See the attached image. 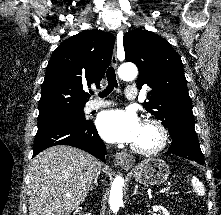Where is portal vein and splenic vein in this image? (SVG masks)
Returning <instances> with one entry per match:
<instances>
[{
	"instance_id": "18ae733b",
	"label": "portal vein and splenic vein",
	"mask_w": 221,
	"mask_h": 215,
	"mask_svg": "<svg viewBox=\"0 0 221 215\" xmlns=\"http://www.w3.org/2000/svg\"><path fill=\"white\" fill-rule=\"evenodd\" d=\"M170 191V188H166L163 190V192H169Z\"/></svg>"
}]
</instances>
